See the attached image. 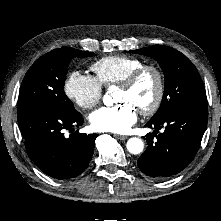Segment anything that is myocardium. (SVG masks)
<instances>
[{
  "label": "myocardium",
  "mask_w": 221,
  "mask_h": 221,
  "mask_svg": "<svg viewBox=\"0 0 221 221\" xmlns=\"http://www.w3.org/2000/svg\"><path fill=\"white\" fill-rule=\"evenodd\" d=\"M145 72H152L156 78V95L153 102L148 107L139 109V113L141 115L149 116L154 114L160 108L164 98L165 80L164 75L159 67L153 64H143L142 66L132 71L120 83H118V87L123 89L132 88Z\"/></svg>",
  "instance_id": "f54148a6"
}]
</instances>
